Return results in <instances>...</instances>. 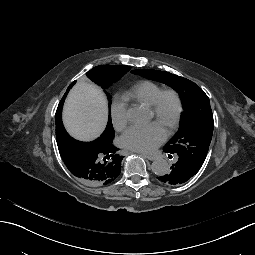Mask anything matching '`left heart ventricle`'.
<instances>
[{
	"label": "left heart ventricle",
	"mask_w": 255,
	"mask_h": 255,
	"mask_svg": "<svg viewBox=\"0 0 255 255\" xmlns=\"http://www.w3.org/2000/svg\"><path fill=\"white\" fill-rule=\"evenodd\" d=\"M174 111V101L171 96H166L162 103V115L160 121L155 124L163 133L167 134L170 129L172 115Z\"/></svg>",
	"instance_id": "left-heart-ventricle-1"
}]
</instances>
